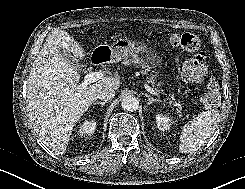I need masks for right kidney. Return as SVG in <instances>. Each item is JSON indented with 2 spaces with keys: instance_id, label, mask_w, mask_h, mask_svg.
Instances as JSON below:
<instances>
[{
  "instance_id": "1",
  "label": "right kidney",
  "mask_w": 245,
  "mask_h": 189,
  "mask_svg": "<svg viewBox=\"0 0 245 189\" xmlns=\"http://www.w3.org/2000/svg\"><path fill=\"white\" fill-rule=\"evenodd\" d=\"M95 128H96V122L94 120L84 121L78 130V135L79 136L91 135L94 133Z\"/></svg>"
}]
</instances>
